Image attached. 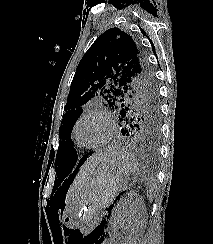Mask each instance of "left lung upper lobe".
Segmentation results:
<instances>
[{"mask_svg": "<svg viewBox=\"0 0 213 244\" xmlns=\"http://www.w3.org/2000/svg\"><path fill=\"white\" fill-rule=\"evenodd\" d=\"M95 97L103 98L120 120L159 130V97L153 72L132 37L116 27L96 39L76 69L59 129L61 140L55 156L58 178L67 175L77 159L72 128L82 106Z\"/></svg>", "mask_w": 213, "mask_h": 244, "instance_id": "5c2ea615", "label": "left lung upper lobe"}]
</instances>
